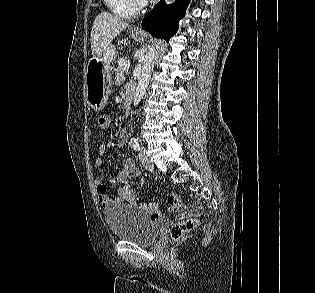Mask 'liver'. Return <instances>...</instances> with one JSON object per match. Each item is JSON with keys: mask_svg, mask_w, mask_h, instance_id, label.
<instances>
[{"mask_svg": "<svg viewBox=\"0 0 315 293\" xmlns=\"http://www.w3.org/2000/svg\"><path fill=\"white\" fill-rule=\"evenodd\" d=\"M129 24L108 12H101L95 18L91 30V50L97 57H105L112 41Z\"/></svg>", "mask_w": 315, "mask_h": 293, "instance_id": "obj_1", "label": "liver"}]
</instances>
